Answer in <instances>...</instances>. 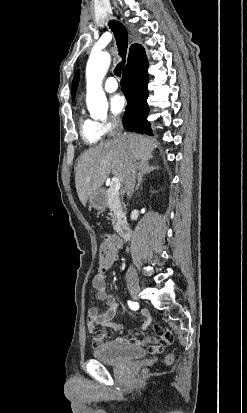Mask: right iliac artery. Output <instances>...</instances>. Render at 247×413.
I'll return each instance as SVG.
<instances>
[{"mask_svg":"<svg viewBox=\"0 0 247 413\" xmlns=\"http://www.w3.org/2000/svg\"><path fill=\"white\" fill-rule=\"evenodd\" d=\"M128 305L132 310H137L139 308V304L137 302L128 301Z\"/></svg>","mask_w":247,"mask_h":413,"instance_id":"obj_1","label":"right iliac artery"}]
</instances>
